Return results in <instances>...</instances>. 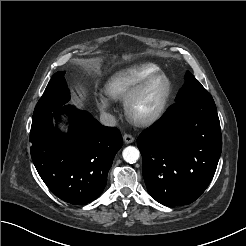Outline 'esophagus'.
Here are the masks:
<instances>
[{"instance_id":"34e87169","label":"esophagus","mask_w":246,"mask_h":246,"mask_svg":"<svg viewBox=\"0 0 246 246\" xmlns=\"http://www.w3.org/2000/svg\"><path fill=\"white\" fill-rule=\"evenodd\" d=\"M123 140L126 144H130V143L134 142V137L130 134H124Z\"/></svg>"}]
</instances>
